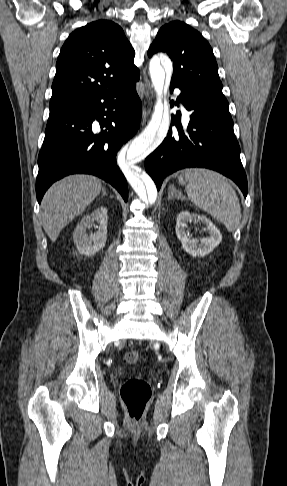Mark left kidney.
Returning <instances> with one entry per match:
<instances>
[{
	"label": "left kidney",
	"instance_id": "5707ae66",
	"mask_svg": "<svg viewBox=\"0 0 287 486\" xmlns=\"http://www.w3.org/2000/svg\"><path fill=\"white\" fill-rule=\"evenodd\" d=\"M191 222L203 223L209 231V236L201 238L200 242L190 238L186 228ZM176 236L181 241L184 251L193 257L208 255L222 241L219 229L208 218L188 211H182L177 217Z\"/></svg>",
	"mask_w": 287,
	"mask_h": 486
}]
</instances>
